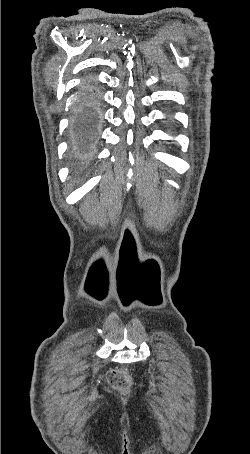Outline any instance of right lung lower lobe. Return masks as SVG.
I'll return each instance as SVG.
<instances>
[{"label":"right lung lower lobe","instance_id":"obj_1","mask_svg":"<svg viewBox=\"0 0 250 454\" xmlns=\"http://www.w3.org/2000/svg\"><path fill=\"white\" fill-rule=\"evenodd\" d=\"M102 120L100 90L92 78H86L79 87L71 127L82 144L94 145L100 137Z\"/></svg>","mask_w":250,"mask_h":454}]
</instances>
